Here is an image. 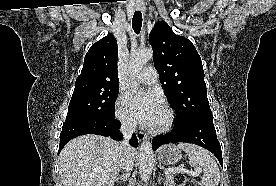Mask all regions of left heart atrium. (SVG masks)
<instances>
[{
	"label": "left heart atrium",
	"instance_id": "39dd6f15",
	"mask_svg": "<svg viewBox=\"0 0 276 186\" xmlns=\"http://www.w3.org/2000/svg\"><path fill=\"white\" fill-rule=\"evenodd\" d=\"M161 109L160 99L152 92L132 91L128 93V113L140 125L153 126Z\"/></svg>",
	"mask_w": 276,
	"mask_h": 186
}]
</instances>
